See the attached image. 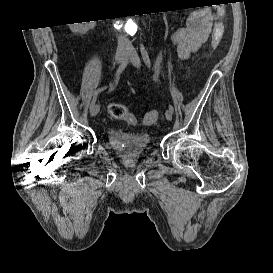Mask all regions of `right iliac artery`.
I'll use <instances>...</instances> for the list:
<instances>
[{
	"label": "right iliac artery",
	"mask_w": 273,
	"mask_h": 273,
	"mask_svg": "<svg viewBox=\"0 0 273 273\" xmlns=\"http://www.w3.org/2000/svg\"><path fill=\"white\" fill-rule=\"evenodd\" d=\"M128 61H129V58L125 59L121 65L118 67L117 71H116V74H115V81H117L121 75V73L123 72V70L126 68L127 64H128ZM103 89H106L105 88H102V89H99L95 92L94 94V97H93V100L90 104V109L95 105V102H96V98H97V95L98 93L100 92V90H103Z\"/></svg>",
	"instance_id": "1"
}]
</instances>
